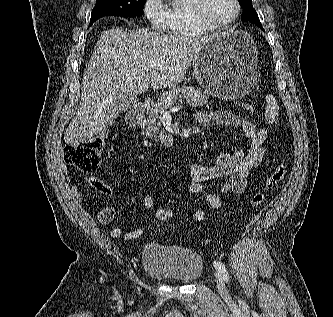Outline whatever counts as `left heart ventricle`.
Segmentation results:
<instances>
[{
    "instance_id": "b2bd125f",
    "label": "left heart ventricle",
    "mask_w": 333,
    "mask_h": 317,
    "mask_svg": "<svg viewBox=\"0 0 333 317\" xmlns=\"http://www.w3.org/2000/svg\"><path fill=\"white\" fill-rule=\"evenodd\" d=\"M235 13L233 0H206L205 15L213 23H223Z\"/></svg>"
}]
</instances>
